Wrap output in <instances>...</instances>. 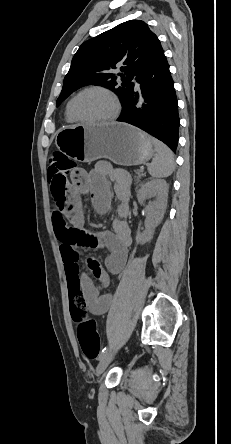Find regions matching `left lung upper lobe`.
Returning <instances> with one entry per match:
<instances>
[{"mask_svg":"<svg viewBox=\"0 0 231 444\" xmlns=\"http://www.w3.org/2000/svg\"><path fill=\"white\" fill-rule=\"evenodd\" d=\"M161 48L157 36L140 20L121 23L84 42L72 59L57 106L73 91L91 84L114 90L124 105L132 79ZM118 67L123 72L118 74L123 81L120 86L113 71Z\"/></svg>","mask_w":231,"mask_h":444,"instance_id":"1","label":"left lung upper lobe"}]
</instances>
